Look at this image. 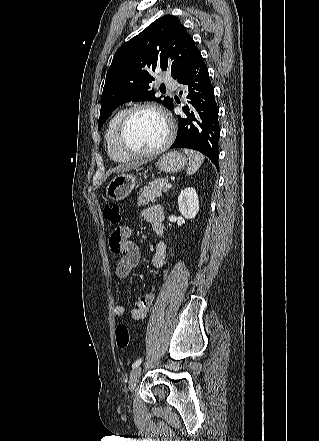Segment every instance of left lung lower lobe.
<instances>
[{
    "label": "left lung lower lobe",
    "instance_id": "1",
    "mask_svg": "<svg viewBox=\"0 0 319 441\" xmlns=\"http://www.w3.org/2000/svg\"><path fill=\"white\" fill-rule=\"evenodd\" d=\"M187 93L183 105L185 116H178L179 128L171 148H190L200 151L218 169L219 135L218 107L206 64L199 53L190 66L177 78ZM173 109V103L170 110Z\"/></svg>",
    "mask_w": 319,
    "mask_h": 441
}]
</instances>
